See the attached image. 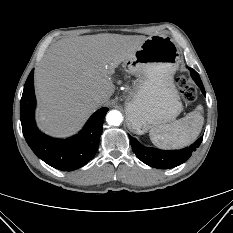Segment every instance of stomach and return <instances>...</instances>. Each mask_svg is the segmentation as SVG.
<instances>
[{
	"label": "stomach",
	"instance_id": "1",
	"mask_svg": "<svg viewBox=\"0 0 233 233\" xmlns=\"http://www.w3.org/2000/svg\"><path fill=\"white\" fill-rule=\"evenodd\" d=\"M180 51L168 36L148 37L134 56L125 61L137 83L125 102L127 125L136 134L173 121L182 111L173 76Z\"/></svg>",
	"mask_w": 233,
	"mask_h": 233
}]
</instances>
